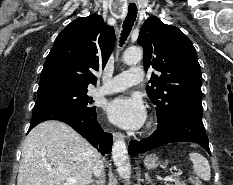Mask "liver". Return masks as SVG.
<instances>
[{
    "instance_id": "obj_1",
    "label": "liver",
    "mask_w": 233,
    "mask_h": 185,
    "mask_svg": "<svg viewBox=\"0 0 233 185\" xmlns=\"http://www.w3.org/2000/svg\"><path fill=\"white\" fill-rule=\"evenodd\" d=\"M100 153L70 126L45 121L23 142L17 185H89ZM72 178L74 182L68 183Z\"/></svg>"
}]
</instances>
